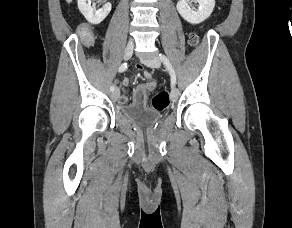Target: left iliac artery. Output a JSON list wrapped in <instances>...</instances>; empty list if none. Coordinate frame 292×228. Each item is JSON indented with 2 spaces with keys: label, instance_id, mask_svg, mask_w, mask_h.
<instances>
[{
  "label": "left iliac artery",
  "instance_id": "obj_1",
  "mask_svg": "<svg viewBox=\"0 0 292 228\" xmlns=\"http://www.w3.org/2000/svg\"><path fill=\"white\" fill-rule=\"evenodd\" d=\"M159 58L168 69V72L171 76V85L173 87L176 84V74L174 72V69H173L169 59L165 55L159 54Z\"/></svg>",
  "mask_w": 292,
  "mask_h": 228
}]
</instances>
